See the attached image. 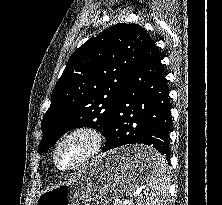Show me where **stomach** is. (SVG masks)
I'll return each mask as SVG.
<instances>
[{"instance_id":"obj_1","label":"stomach","mask_w":222,"mask_h":205,"mask_svg":"<svg viewBox=\"0 0 222 205\" xmlns=\"http://www.w3.org/2000/svg\"><path fill=\"white\" fill-rule=\"evenodd\" d=\"M156 154L153 148L140 145L102 154L67 183L42 191L36 205H108L145 183L149 167L140 160Z\"/></svg>"}]
</instances>
